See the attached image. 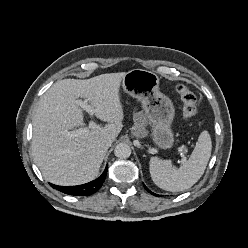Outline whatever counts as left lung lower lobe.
<instances>
[{
	"label": "left lung lower lobe",
	"instance_id": "obj_1",
	"mask_svg": "<svg viewBox=\"0 0 248 248\" xmlns=\"http://www.w3.org/2000/svg\"><path fill=\"white\" fill-rule=\"evenodd\" d=\"M144 185V184H143ZM144 187H145V189L149 192V193H151V194H153V195H155V196H159V195H157V194H155V193H152L145 185H144Z\"/></svg>",
	"mask_w": 248,
	"mask_h": 248
}]
</instances>
